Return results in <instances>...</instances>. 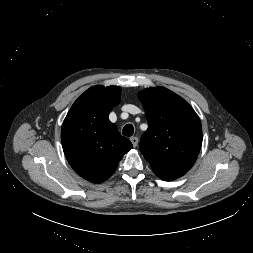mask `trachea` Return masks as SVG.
Instances as JSON below:
<instances>
[{
  "label": "trachea",
  "mask_w": 253,
  "mask_h": 253,
  "mask_svg": "<svg viewBox=\"0 0 253 253\" xmlns=\"http://www.w3.org/2000/svg\"><path fill=\"white\" fill-rule=\"evenodd\" d=\"M122 133L124 136H132L133 133H134V127L132 124H127L124 126L123 130H122Z\"/></svg>",
  "instance_id": "obj_1"
}]
</instances>
